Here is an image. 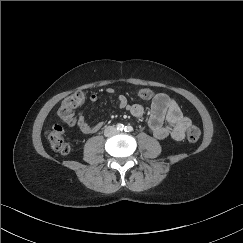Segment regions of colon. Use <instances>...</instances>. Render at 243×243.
<instances>
[{
    "label": "colon",
    "mask_w": 243,
    "mask_h": 243,
    "mask_svg": "<svg viewBox=\"0 0 243 243\" xmlns=\"http://www.w3.org/2000/svg\"><path fill=\"white\" fill-rule=\"evenodd\" d=\"M86 99L84 91H77L64 98L58 107V115L63 122L69 126L75 124L74 109L81 105ZM201 135L200 129L196 126H190L187 131V137L194 142L199 140ZM47 139L51 147L60 154H68L70 145L63 136V129L59 124H54L46 132Z\"/></svg>",
    "instance_id": "obj_1"
}]
</instances>
